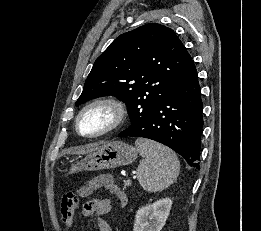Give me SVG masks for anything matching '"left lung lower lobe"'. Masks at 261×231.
<instances>
[{
	"mask_svg": "<svg viewBox=\"0 0 261 231\" xmlns=\"http://www.w3.org/2000/svg\"><path fill=\"white\" fill-rule=\"evenodd\" d=\"M203 103L196 68L139 122L118 137H143L160 142L199 169Z\"/></svg>",
	"mask_w": 261,
	"mask_h": 231,
	"instance_id": "0a47b994",
	"label": "left lung lower lobe"
}]
</instances>
